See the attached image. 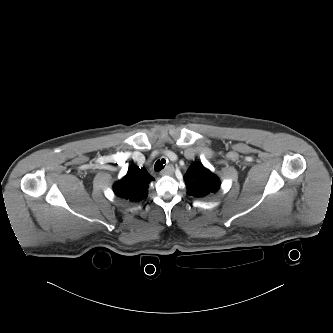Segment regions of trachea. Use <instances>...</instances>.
I'll use <instances>...</instances> for the list:
<instances>
[{
    "label": "trachea",
    "mask_w": 333,
    "mask_h": 333,
    "mask_svg": "<svg viewBox=\"0 0 333 333\" xmlns=\"http://www.w3.org/2000/svg\"><path fill=\"white\" fill-rule=\"evenodd\" d=\"M166 163V160L165 159H162V160H158L155 165H154V170L156 172H159L161 171L165 166L163 164Z\"/></svg>",
    "instance_id": "3493384b"
}]
</instances>
